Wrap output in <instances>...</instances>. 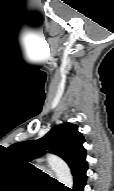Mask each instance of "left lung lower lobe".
I'll list each match as a JSON object with an SVG mask.
<instances>
[{
    "label": "left lung lower lobe",
    "mask_w": 114,
    "mask_h": 191,
    "mask_svg": "<svg viewBox=\"0 0 114 191\" xmlns=\"http://www.w3.org/2000/svg\"><path fill=\"white\" fill-rule=\"evenodd\" d=\"M86 171L87 162L85 161L72 173L74 178V186L70 191H83L87 179Z\"/></svg>",
    "instance_id": "obj_1"
}]
</instances>
